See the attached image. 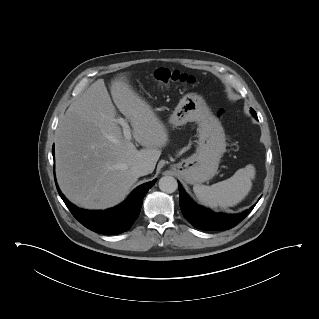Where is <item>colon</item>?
I'll use <instances>...</instances> for the list:
<instances>
[{
  "label": "colon",
  "mask_w": 319,
  "mask_h": 319,
  "mask_svg": "<svg viewBox=\"0 0 319 319\" xmlns=\"http://www.w3.org/2000/svg\"><path fill=\"white\" fill-rule=\"evenodd\" d=\"M156 82L163 88H170L171 86L177 85L178 83H192L193 78L181 73L179 71H173L165 68H160L155 72ZM224 113L223 109L218 111V116H222Z\"/></svg>",
  "instance_id": "5ec220e1"
}]
</instances>
